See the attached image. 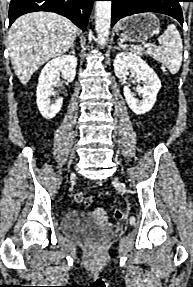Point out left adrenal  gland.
<instances>
[{"label":"left adrenal gland","mask_w":193,"mask_h":287,"mask_svg":"<svg viewBox=\"0 0 193 287\" xmlns=\"http://www.w3.org/2000/svg\"><path fill=\"white\" fill-rule=\"evenodd\" d=\"M115 49H119V47H118V46H115Z\"/></svg>","instance_id":"obj_1"}]
</instances>
